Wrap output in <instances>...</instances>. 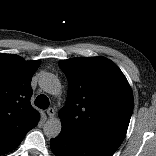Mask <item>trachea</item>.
Here are the masks:
<instances>
[{
  "instance_id": "trachea-1",
  "label": "trachea",
  "mask_w": 156,
  "mask_h": 156,
  "mask_svg": "<svg viewBox=\"0 0 156 156\" xmlns=\"http://www.w3.org/2000/svg\"><path fill=\"white\" fill-rule=\"evenodd\" d=\"M35 105L41 109H47L49 107V99L45 95H39L35 100Z\"/></svg>"
}]
</instances>
